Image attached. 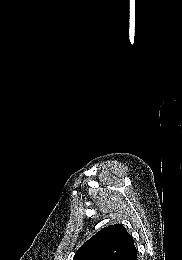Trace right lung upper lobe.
<instances>
[{
  "mask_svg": "<svg viewBox=\"0 0 182 260\" xmlns=\"http://www.w3.org/2000/svg\"><path fill=\"white\" fill-rule=\"evenodd\" d=\"M133 238L120 224L101 229L75 253L73 260H135Z\"/></svg>",
  "mask_w": 182,
  "mask_h": 260,
  "instance_id": "right-lung-upper-lobe-1",
  "label": "right lung upper lobe"
}]
</instances>
